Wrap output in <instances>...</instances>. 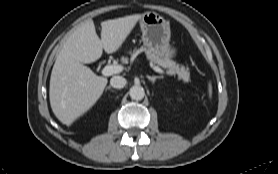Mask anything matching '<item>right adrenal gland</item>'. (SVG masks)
<instances>
[{"mask_svg": "<svg viewBox=\"0 0 278 174\" xmlns=\"http://www.w3.org/2000/svg\"><path fill=\"white\" fill-rule=\"evenodd\" d=\"M106 90H111V86H108V87L106 88Z\"/></svg>", "mask_w": 278, "mask_h": 174, "instance_id": "2a0ac1e0", "label": "right adrenal gland"}]
</instances>
